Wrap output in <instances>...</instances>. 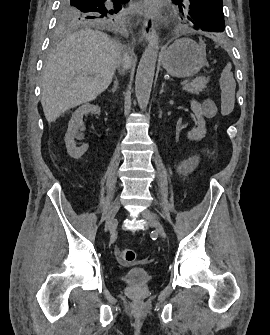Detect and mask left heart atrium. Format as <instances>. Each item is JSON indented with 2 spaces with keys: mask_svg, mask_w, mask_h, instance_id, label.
I'll return each mask as SVG.
<instances>
[{
  "mask_svg": "<svg viewBox=\"0 0 270 335\" xmlns=\"http://www.w3.org/2000/svg\"><path fill=\"white\" fill-rule=\"evenodd\" d=\"M159 9V2L157 0H144L138 4L139 14L147 19L158 18L160 14Z\"/></svg>",
  "mask_w": 270,
  "mask_h": 335,
  "instance_id": "1",
  "label": "left heart atrium"
}]
</instances>
